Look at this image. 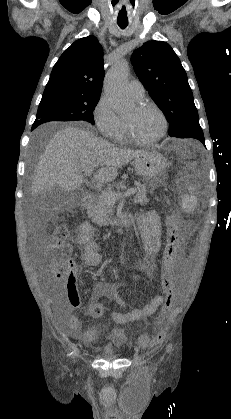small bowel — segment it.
Instances as JSON below:
<instances>
[{
    "mask_svg": "<svg viewBox=\"0 0 231 419\" xmlns=\"http://www.w3.org/2000/svg\"><path fill=\"white\" fill-rule=\"evenodd\" d=\"M136 220L141 229L143 248L146 254L145 266L151 268L153 257L160 248L162 233L160 217L155 211H149L146 214L138 215ZM76 241L83 251L82 269L102 264L103 259L95 241V229L91 223H81L76 235ZM61 282L64 283L63 279H61ZM64 290L71 306L78 308L81 305V301L77 292L76 283L72 288L65 285ZM96 292L98 298H108L121 307H127L124 301L119 297L116 286L111 282L99 283L96 287ZM163 297L164 296L162 295L155 296L144 305L129 308L126 312H113L111 313V319L114 323L123 325L153 315L163 303ZM96 304L98 303L94 302L91 306L93 307ZM92 316L96 317L93 314ZM60 328L70 337L84 343L90 344L96 340V329L89 328L87 330H82L81 321L76 316H70L64 319L60 323Z\"/></svg>",
    "mask_w": 231,
    "mask_h": 419,
    "instance_id": "c3829d8e",
    "label": "small bowel"
}]
</instances>
